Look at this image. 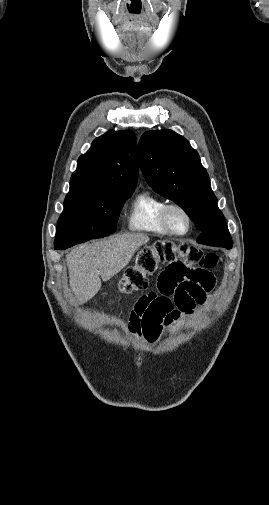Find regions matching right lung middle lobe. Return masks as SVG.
<instances>
[{"instance_id": "obj_1", "label": "right lung middle lobe", "mask_w": 269, "mask_h": 505, "mask_svg": "<svg viewBox=\"0 0 269 505\" xmlns=\"http://www.w3.org/2000/svg\"><path fill=\"white\" fill-rule=\"evenodd\" d=\"M133 192H69L59 217L54 248L66 249L115 232L120 210Z\"/></svg>"}]
</instances>
